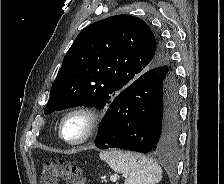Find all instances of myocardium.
Here are the masks:
<instances>
[{
    "mask_svg": "<svg viewBox=\"0 0 224 184\" xmlns=\"http://www.w3.org/2000/svg\"><path fill=\"white\" fill-rule=\"evenodd\" d=\"M81 116L86 121L84 134L77 140H70L65 137L63 127L65 122L73 117ZM101 122V115L98 110L91 106H76L69 109L61 118L58 126V133L62 141L71 146H78L88 142L96 133Z\"/></svg>",
    "mask_w": 224,
    "mask_h": 184,
    "instance_id": "myocardium-1",
    "label": "myocardium"
}]
</instances>
